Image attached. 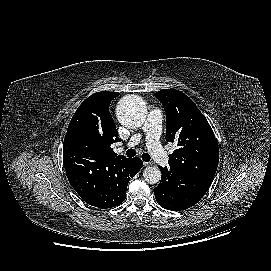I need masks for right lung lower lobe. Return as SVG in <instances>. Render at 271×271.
Here are the masks:
<instances>
[{
    "instance_id": "98d812e1",
    "label": "right lung lower lobe",
    "mask_w": 271,
    "mask_h": 271,
    "mask_svg": "<svg viewBox=\"0 0 271 271\" xmlns=\"http://www.w3.org/2000/svg\"><path fill=\"white\" fill-rule=\"evenodd\" d=\"M63 163L69 183L79 196L103 209L125 200L128 182L143 165L137 157L111 159L81 150H64Z\"/></svg>"
}]
</instances>
